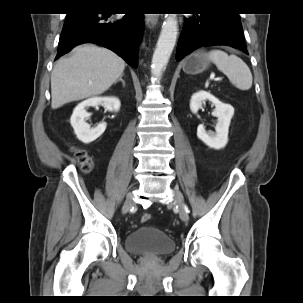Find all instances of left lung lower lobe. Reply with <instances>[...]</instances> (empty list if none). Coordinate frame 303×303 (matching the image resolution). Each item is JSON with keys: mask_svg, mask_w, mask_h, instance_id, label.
Segmentation results:
<instances>
[{"mask_svg": "<svg viewBox=\"0 0 303 303\" xmlns=\"http://www.w3.org/2000/svg\"><path fill=\"white\" fill-rule=\"evenodd\" d=\"M212 45H227L248 54L239 15L208 11L184 18L176 60L180 61L197 48Z\"/></svg>", "mask_w": 303, "mask_h": 303, "instance_id": "obj_1", "label": "left lung lower lobe"}]
</instances>
